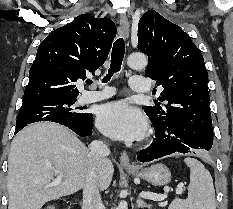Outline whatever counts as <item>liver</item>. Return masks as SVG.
Returning a JSON list of instances; mask_svg holds the SVG:
<instances>
[{
    "instance_id": "liver-1",
    "label": "liver",
    "mask_w": 233,
    "mask_h": 209,
    "mask_svg": "<svg viewBox=\"0 0 233 209\" xmlns=\"http://www.w3.org/2000/svg\"><path fill=\"white\" fill-rule=\"evenodd\" d=\"M88 148L64 126L41 122L25 127L13 139L8 156V209L42 206L84 188L93 172L99 190H106L114 167L109 159L93 164ZM57 171L60 184L52 182Z\"/></svg>"
}]
</instances>
